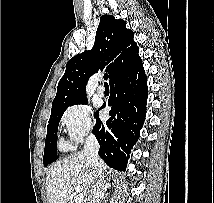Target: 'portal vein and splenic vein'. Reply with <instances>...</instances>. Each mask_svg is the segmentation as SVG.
I'll return each mask as SVG.
<instances>
[{
  "mask_svg": "<svg viewBox=\"0 0 214 203\" xmlns=\"http://www.w3.org/2000/svg\"><path fill=\"white\" fill-rule=\"evenodd\" d=\"M74 189L78 193L74 197V203H82L83 200H84V195L81 193L82 192V188L80 186H75Z\"/></svg>",
  "mask_w": 214,
  "mask_h": 203,
  "instance_id": "18ae733b",
  "label": "portal vein and splenic vein"
}]
</instances>
